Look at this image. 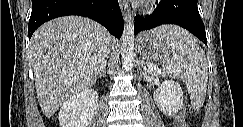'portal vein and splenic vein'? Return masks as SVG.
<instances>
[{"mask_svg": "<svg viewBox=\"0 0 243 127\" xmlns=\"http://www.w3.org/2000/svg\"><path fill=\"white\" fill-rule=\"evenodd\" d=\"M148 71L152 74H161L162 73L161 70H157L156 68H153V67H149Z\"/></svg>", "mask_w": 243, "mask_h": 127, "instance_id": "1", "label": "portal vein and splenic vein"}]
</instances>
